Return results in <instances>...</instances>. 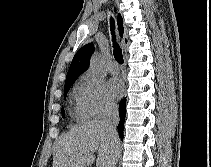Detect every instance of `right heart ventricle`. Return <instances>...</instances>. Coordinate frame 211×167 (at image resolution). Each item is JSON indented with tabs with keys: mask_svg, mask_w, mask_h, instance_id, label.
<instances>
[{
	"mask_svg": "<svg viewBox=\"0 0 211 167\" xmlns=\"http://www.w3.org/2000/svg\"><path fill=\"white\" fill-rule=\"evenodd\" d=\"M72 115L77 119H85V118L88 117L87 114L84 112V110L81 107L77 87H76V90H75L74 106H73V109H72Z\"/></svg>",
	"mask_w": 211,
	"mask_h": 167,
	"instance_id": "1",
	"label": "right heart ventricle"
}]
</instances>
